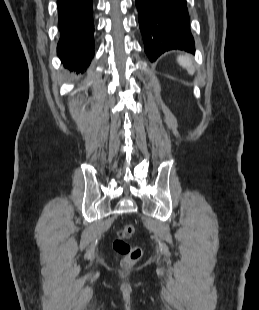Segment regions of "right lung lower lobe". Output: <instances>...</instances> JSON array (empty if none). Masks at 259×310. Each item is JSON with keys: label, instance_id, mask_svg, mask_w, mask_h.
Here are the masks:
<instances>
[{"label": "right lung lower lobe", "instance_id": "obj_1", "mask_svg": "<svg viewBox=\"0 0 259 310\" xmlns=\"http://www.w3.org/2000/svg\"><path fill=\"white\" fill-rule=\"evenodd\" d=\"M57 54L66 68L86 69L94 55L92 0H57Z\"/></svg>", "mask_w": 259, "mask_h": 310}]
</instances>
